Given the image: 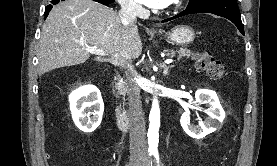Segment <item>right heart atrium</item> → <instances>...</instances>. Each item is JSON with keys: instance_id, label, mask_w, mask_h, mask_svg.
<instances>
[{"instance_id": "right-heart-atrium-1", "label": "right heart atrium", "mask_w": 277, "mask_h": 166, "mask_svg": "<svg viewBox=\"0 0 277 166\" xmlns=\"http://www.w3.org/2000/svg\"><path fill=\"white\" fill-rule=\"evenodd\" d=\"M121 8L129 13L138 14L141 12V6L138 4L137 0H116Z\"/></svg>"}]
</instances>
